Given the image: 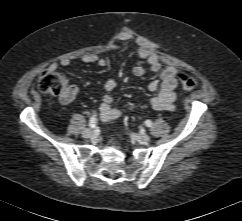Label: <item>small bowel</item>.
Returning a JSON list of instances; mask_svg holds the SVG:
<instances>
[{"label":"small bowel","mask_w":242,"mask_h":221,"mask_svg":"<svg viewBox=\"0 0 242 221\" xmlns=\"http://www.w3.org/2000/svg\"><path fill=\"white\" fill-rule=\"evenodd\" d=\"M119 44L125 42H132L135 44V50L137 55L146 61L147 65L138 64L133 67L132 72L135 76H143L147 72H159L160 80L151 81L148 85V89L151 92H157L156 95L149 99L150 106L155 110L160 111H173L175 109L176 100V87L177 79L176 75L178 69L172 66L164 67L160 61L158 55L149 46L146 39L134 36V35H122L118 38ZM84 64H97L101 67L106 65V60L99 57L96 54H86L81 58ZM71 64L70 59L63 58L59 62L50 64V70H56L59 66L68 67ZM117 81L115 79H109L104 85L105 94L103 96L102 103L100 105V118L103 121H111L121 117V110L113 107V96L111 93L117 88ZM76 88H71L70 98L65 101L71 100L72 96L76 93Z\"/></svg>","instance_id":"obj_1"}]
</instances>
